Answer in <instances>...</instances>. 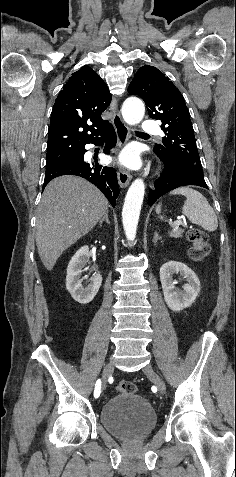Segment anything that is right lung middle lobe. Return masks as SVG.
<instances>
[{"label": "right lung middle lobe", "mask_w": 236, "mask_h": 477, "mask_svg": "<svg viewBox=\"0 0 236 477\" xmlns=\"http://www.w3.org/2000/svg\"><path fill=\"white\" fill-rule=\"evenodd\" d=\"M74 157H75V156H73V157H70V158H68V159L64 160L63 162H66V161L73 160V159H74ZM63 162H62V163H63Z\"/></svg>", "instance_id": "1"}]
</instances>
